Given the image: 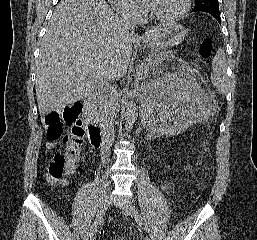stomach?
Wrapping results in <instances>:
<instances>
[{"mask_svg":"<svg viewBox=\"0 0 257 240\" xmlns=\"http://www.w3.org/2000/svg\"><path fill=\"white\" fill-rule=\"evenodd\" d=\"M186 35V29L181 24L167 22L159 27L151 39L150 46L155 49H166L180 44Z\"/></svg>","mask_w":257,"mask_h":240,"instance_id":"stomach-1","label":"stomach"}]
</instances>
